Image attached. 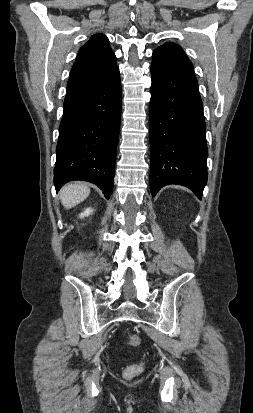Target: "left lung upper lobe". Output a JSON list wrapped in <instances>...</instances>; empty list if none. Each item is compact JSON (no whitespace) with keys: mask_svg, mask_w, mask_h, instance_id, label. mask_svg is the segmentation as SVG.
<instances>
[{"mask_svg":"<svg viewBox=\"0 0 253 413\" xmlns=\"http://www.w3.org/2000/svg\"><path fill=\"white\" fill-rule=\"evenodd\" d=\"M157 49L171 52L172 54L176 55L180 60L184 61L186 64L193 68L191 61L188 59L187 55L179 45L168 42L159 46Z\"/></svg>","mask_w":253,"mask_h":413,"instance_id":"left-lung-upper-lobe-1","label":"left lung upper lobe"}]
</instances>
